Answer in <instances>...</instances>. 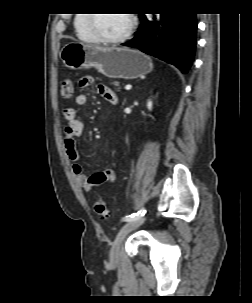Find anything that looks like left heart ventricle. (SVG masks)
Masks as SVG:
<instances>
[{"mask_svg": "<svg viewBox=\"0 0 252 303\" xmlns=\"http://www.w3.org/2000/svg\"><path fill=\"white\" fill-rule=\"evenodd\" d=\"M96 18V29L108 37L121 35L129 25L128 14H97Z\"/></svg>", "mask_w": 252, "mask_h": 303, "instance_id": "1", "label": "left heart ventricle"}]
</instances>
